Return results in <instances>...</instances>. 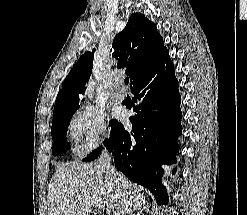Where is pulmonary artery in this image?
I'll return each mask as SVG.
<instances>
[{
	"mask_svg": "<svg viewBox=\"0 0 247 215\" xmlns=\"http://www.w3.org/2000/svg\"><path fill=\"white\" fill-rule=\"evenodd\" d=\"M113 97L119 101H122L126 98V92L122 83H119L115 86V89L113 90Z\"/></svg>",
	"mask_w": 247,
	"mask_h": 215,
	"instance_id": "1",
	"label": "pulmonary artery"
}]
</instances>
